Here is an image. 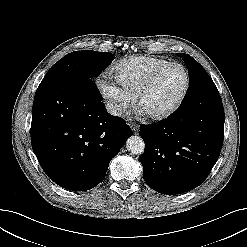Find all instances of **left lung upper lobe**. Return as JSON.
I'll use <instances>...</instances> for the list:
<instances>
[{"instance_id":"1","label":"left lung upper lobe","mask_w":247,"mask_h":247,"mask_svg":"<svg viewBox=\"0 0 247 247\" xmlns=\"http://www.w3.org/2000/svg\"><path fill=\"white\" fill-rule=\"evenodd\" d=\"M179 56L185 61L189 73V89L183 100V104H192L194 102L196 87L204 81H212L204 68L191 56L179 53Z\"/></svg>"}]
</instances>
